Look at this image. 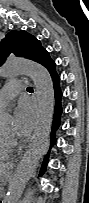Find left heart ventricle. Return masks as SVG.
<instances>
[{"label":"left heart ventricle","instance_id":"left-heart-ventricle-1","mask_svg":"<svg viewBox=\"0 0 89 203\" xmlns=\"http://www.w3.org/2000/svg\"><path fill=\"white\" fill-rule=\"evenodd\" d=\"M13 130L9 129L7 131H5L4 136L6 137H12L13 136Z\"/></svg>","mask_w":89,"mask_h":203}]
</instances>
